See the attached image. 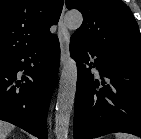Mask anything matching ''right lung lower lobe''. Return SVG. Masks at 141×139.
Masks as SVG:
<instances>
[{
    "label": "right lung lower lobe",
    "mask_w": 141,
    "mask_h": 139,
    "mask_svg": "<svg viewBox=\"0 0 141 139\" xmlns=\"http://www.w3.org/2000/svg\"><path fill=\"white\" fill-rule=\"evenodd\" d=\"M60 62L57 36L0 59V120L47 139V114ZM24 70L19 80L17 73Z\"/></svg>",
    "instance_id": "right-lung-lower-lobe-1"
}]
</instances>
